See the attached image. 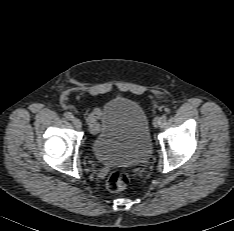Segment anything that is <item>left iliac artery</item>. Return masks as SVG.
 Listing matches in <instances>:
<instances>
[{
    "instance_id": "1",
    "label": "left iliac artery",
    "mask_w": 234,
    "mask_h": 231,
    "mask_svg": "<svg viewBox=\"0 0 234 231\" xmlns=\"http://www.w3.org/2000/svg\"><path fill=\"white\" fill-rule=\"evenodd\" d=\"M166 120H167V116H166L165 114H163V115L161 116L160 126L165 125Z\"/></svg>"
}]
</instances>
